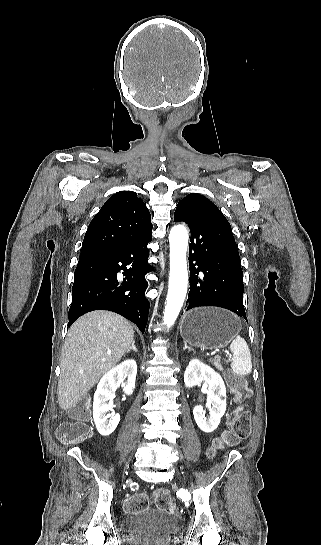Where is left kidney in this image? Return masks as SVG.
I'll return each instance as SVG.
<instances>
[{"instance_id": "1", "label": "left kidney", "mask_w": 321, "mask_h": 545, "mask_svg": "<svg viewBox=\"0 0 321 545\" xmlns=\"http://www.w3.org/2000/svg\"><path fill=\"white\" fill-rule=\"evenodd\" d=\"M203 381L208 383L206 407L209 409L210 417L206 419L205 411L201 405L194 407L193 415L201 431L212 433L217 429L221 417L226 411V387L219 373H215L214 369L204 365L198 359H192L184 373V383L186 387H195Z\"/></svg>"}]
</instances>
